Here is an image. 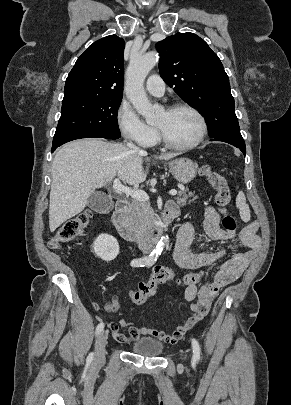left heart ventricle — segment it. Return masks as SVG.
<instances>
[{
  "label": "left heart ventricle",
  "mask_w": 291,
  "mask_h": 405,
  "mask_svg": "<svg viewBox=\"0 0 291 405\" xmlns=\"http://www.w3.org/2000/svg\"><path fill=\"white\" fill-rule=\"evenodd\" d=\"M155 126L160 128L165 136L176 144L191 143L200 132L198 118L185 109L172 112L162 111L155 122Z\"/></svg>",
  "instance_id": "left-heart-ventricle-1"
}]
</instances>
